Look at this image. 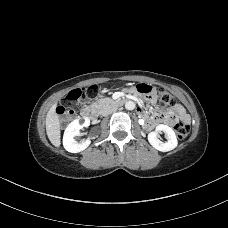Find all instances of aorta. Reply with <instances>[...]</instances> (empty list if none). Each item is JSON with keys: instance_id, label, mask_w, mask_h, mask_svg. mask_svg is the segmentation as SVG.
Masks as SVG:
<instances>
[{"instance_id": "aorta-1", "label": "aorta", "mask_w": 228, "mask_h": 228, "mask_svg": "<svg viewBox=\"0 0 228 228\" xmlns=\"http://www.w3.org/2000/svg\"><path fill=\"white\" fill-rule=\"evenodd\" d=\"M125 108L127 110H133L135 108V103L133 101H127L125 103Z\"/></svg>"}]
</instances>
